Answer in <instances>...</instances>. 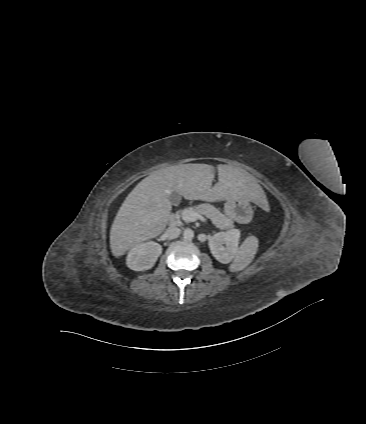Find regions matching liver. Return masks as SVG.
Masks as SVG:
<instances>
[{
	"mask_svg": "<svg viewBox=\"0 0 366 424\" xmlns=\"http://www.w3.org/2000/svg\"><path fill=\"white\" fill-rule=\"evenodd\" d=\"M218 182L212 187L214 167L180 164L160 169L139 182L121 205L110 230V249L116 258L141 242L160 235L170 218V195L187 200L217 202L248 199L259 203L263 190L248 172L218 165Z\"/></svg>",
	"mask_w": 366,
	"mask_h": 424,
	"instance_id": "obj_1",
	"label": "liver"
}]
</instances>
